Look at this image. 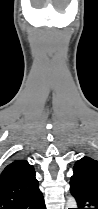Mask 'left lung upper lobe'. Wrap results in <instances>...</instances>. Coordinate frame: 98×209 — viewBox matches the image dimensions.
Here are the masks:
<instances>
[{
    "instance_id": "left-lung-upper-lobe-1",
    "label": "left lung upper lobe",
    "mask_w": 98,
    "mask_h": 209,
    "mask_svg": "<svg viewBox=\"0 0 98 209\" xmlns=\"http://www.w3.org/2000/svg\"><path fill=\"white\" fill-rule=\"evenodd\" d=\"M73 172L70 185L98 197V161L85 156L75 163Z\"/></svg>"
}]
</instances>
